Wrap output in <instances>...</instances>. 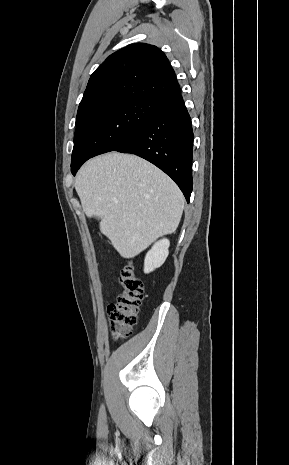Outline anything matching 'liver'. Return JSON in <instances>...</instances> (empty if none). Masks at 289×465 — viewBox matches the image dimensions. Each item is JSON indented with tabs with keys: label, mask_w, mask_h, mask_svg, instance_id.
I'll use <instances>...</instances> for the list:
<instances>
[{
	"label": "liver",
	"mask_w": 289,
	"mask_h": 465,
	"mask_svg": "<svg viewBox=\"0 0 289 465\" xmlns=\"http://www.w3.org/2000/svg\"><path fill=\"white\" fill-rule=\"evenodd\" d=\"M74 187L83 211L123 258H134L173 233L184 209L178 186L148 161L112 152L87 161Z\"/></svg>",
	"instance_id": "liver-1"
}]
</instances>
